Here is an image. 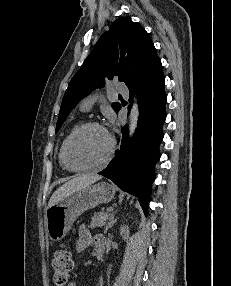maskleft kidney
Returning a JSON list of instances; mask_svg holds the SVG:
<instances>
[{
	"instance_id": "left-kidney-1",
	"label": "left kidney",
	"mask_w": 231,
	"mask_h": 286,
	"mask_svg": "<svg viewBox=\"0 0 231 286\" xmlns=\"http://www.w3.org/2000/svg\"><path fill=\"white\" fill-rule=\"evenodd\" d=\"M120 235H122V237L126 238L129 235V228L128 226H123L120 229Z\"/></svg>"
}]
</instances>
